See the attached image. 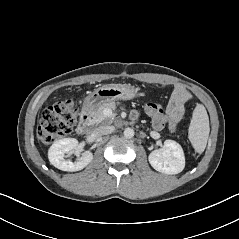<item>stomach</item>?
Here are the masks:
<instances>
[{
  "label": "stomach",
  "mask_w": 239,
  "mask_h": 239,
  "mask_svg": "<svg viewBox=\"0 0 239 239\" xmlns=\"http://www.w3.org/2000/svg\"><path fill=\"white\" fill-rule=\"evenodd\" d=\"M139 95L138 89L131 85H103L90 93L85 101L83 110L93 114L100 106L117 100H130Z\"/></svg>",
  "instance_id": "stomach-1"
}]
</instances>
